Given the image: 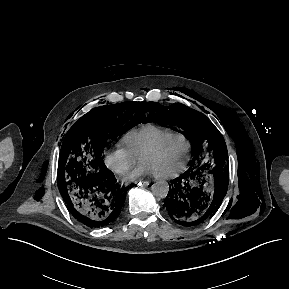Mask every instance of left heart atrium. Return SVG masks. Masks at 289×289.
<instances>
[{
	"instance_id": "obj_1",
	"label": "left heart atrium",
	"mask_w": 289,
	"mask_h": 289,
	"mask_svg": "<svg viewBox=\"0 0 289 289\" xmlns=\"http://www.w3.org/2000/svg\"><path fill=\"white\" fill-rule=\"evenodd\" d=\"M147 174H155V173L147 163L142 162L127 175L126 179L132 181Z\"/></svg>"
}]
</instances>
